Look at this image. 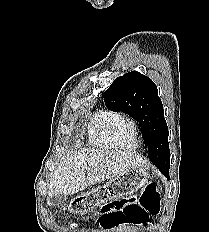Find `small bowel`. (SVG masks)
<instances>
[{
  "label": "small bowel",
  "mask_w": 209,
  "mask_h": 232,
  "mask_svg": "<svg viewBox=\"0 0 209 232\" xmlns=\"http://www.w3.org/2000/svg\"><path fill=\"white\" fill-rule=\"evenodd\" d=\"M148 221H149V220H148ZM148 221H147V222H148ZM147 222H146V223H147ZM140 224H141V223H140ZM107 227H113V226H107Z\"/></svg>",
  "instance_id": "small-bowel-1"
}]
</instances>
